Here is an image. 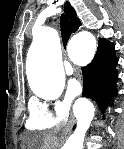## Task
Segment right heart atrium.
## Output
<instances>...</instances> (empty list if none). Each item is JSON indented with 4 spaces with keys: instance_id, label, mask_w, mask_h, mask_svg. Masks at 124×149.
Returning <instances> with one entry per match:
<instances>
[{
    "instance_id": "1",
    "label": "right heart atrium",
    "mask_w": 124,
    "mask_h": 149,
    "mask_svg": "<svg viewBox=\"0 0 124 149\" xmlns=\"http://www.w3.org/2000/svg\"><path fill=\"white\" fill-rule=\"evenodd\" d=\"M69 108L68 100L50 102L33 99L30 104L28 125L34 129H52L67 117Z\"/></svg>"
}]
</instances>
